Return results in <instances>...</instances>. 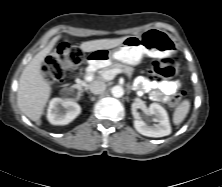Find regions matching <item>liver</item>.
<instances>
[{
  "label": "liver",
  "mask_w": 222,
  "mask_h": 187,
  "mask_svg": "<svg viewBox=\"0 0 222 187\" xmlns=\"http://www.w3.org/2000/svg\"><path fill=\"white\" fill-rule=\"evenodd\" d=\"M126 37L82 42L80 49L83 52H92L98 49L115 48ZM60 38V35L54 37L44 49L38 52L26 65L19 79L17 91L18 107L23 114L35 122L40 120L51 94V87L43 76L41 64Z\"/></svg>",
  "instance_id": "1"
}]
</instances>
